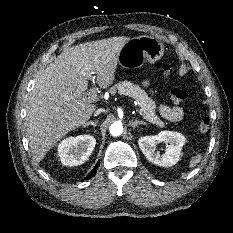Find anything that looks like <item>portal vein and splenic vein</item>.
Instances as JSON below:
<instances>
[{
  "mask_svg": "<svg viewBox=\"0 0 233 233\" xmlns=\"http://www.w3.org/2000/svg\"><path fill=\"white\" fill-rule=\"evenodd\" d=\"M88 77L90 80L94 83L95 75L93 72H91ZM98 95L94 89H90L87 93L85 98L81 100V102H97L98 101ZM140 112V111H139ZM141 114V112H140Z\"/></svg>",
  "mask_w": 233,
  "mask_h": 233,
  "instance_id": "obj_1",
  "label": "portal vein and splenic vein"
}]
</instances>
